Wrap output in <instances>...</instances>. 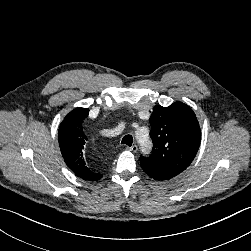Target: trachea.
I'll return each mask as SVG.
<instances>
[{
    "label": "trachea",
    "instance_id": "obj_1",
    "mask_svg": "<svg viewBox=\"0 0 251 251\" xmlns=\"http://www.w3.org/2000/svg\"><path fill=\"white\" fill-rule=\"evenodd\" d=\"M121 143L130 147L133 143V137L131 135L124 136Z\"/></svg>",
    "mask_w": 251,
    "mask_h": 251
}]
</instances>
